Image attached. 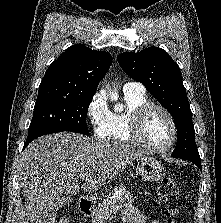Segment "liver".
<instances>
[{
    "instance_id": "6515ba94",
    "label": "liver",
    "mask_w": 221,
    "mask_h": 223,
    "mask_svg": "<svg viewBox=\"0 0 221 223\" xmlns=\"http://www.w3.org/2000/svg\"><path fill=\"white\" fill-rule=\"evenodd\" d=\"M146 155L136 146L71 132L37 138L23 151L18 167L25 198L23 223H55L64 206L60 193L77 194L79 178L89 175L81 189L96 191Z\"/></svg>"
}]
</instances>
